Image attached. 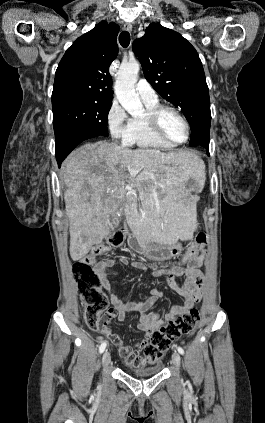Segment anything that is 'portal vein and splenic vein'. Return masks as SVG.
<instances>
[{
  "mask_svg": "<svg viewBox=\"0 0 265 423\" xmlns=\"http://www.w3.org/2000/svg\"><path fill=\"white\" fill-rule=\"evenodd\" d=\"M126 189L131 191V190H133V186L132 185H126Z\"/></svg>",
  "mask_w": 265,
  "mask_h": 423,
  "instance_id": "1",
  "label": "portal vein and splenic vein"
}]
</instances>
